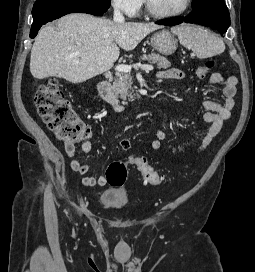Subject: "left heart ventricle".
Listing matches in <instances>:
<instances>
[{
    "label": "left heart ventricle",
    "instance_id": "left-heart-ventricle-1",
    "mask_svg": "<svg viewBox=\"0 0 255 272\" xmlns=\"http://www.w3.org/2000/svg\"><path fill=\"white\" fill-rule=\"evenodd\" d=\"M186 0H150L152 8L158 12H174L185 5Z\"/></svg>",
    "mask_w": 255,
    "mask_h": 272
}]
</instances>
